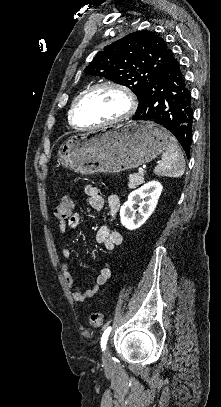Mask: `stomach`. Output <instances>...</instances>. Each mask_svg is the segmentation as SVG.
Wrapping results in <instances>:
<instances>
[{
	"label": "stomach",
	"mask_w": 221,
	"mask_h": 407,
	"mask_svg": "<svg viewBox=\"0 0 221 407\" xmlns=\"http://www.w3.org/2000/svg\"><path fill=\"white\" fill-rule=\"evenodd\" d=\"M169 133L147 121H131L79 133L59 147L61 165L76 173H119L151 162L162 153Z\"/></svg>",
	"instance_id": "1"
}]
</instances>
